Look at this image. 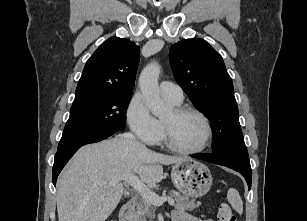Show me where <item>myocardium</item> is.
Returning a JSON list of instances; mask_svg holds the SVG:
<instances>
[{"instance_id":"obj_1","label":"myocardium","mask_w":307,"mask_h":221,"mask_svg":"<svg viewBox=\"0 0 307 221\" xmlns=\"http://www.w3.org/2000/svg\"><path fill=\"white\" fill-rule=\"evenodd\" d=\"M173 110L175 111L177 115L194 114L198 116L199 118H201V120L204 122V125H205L206 134H205L203 143L199 147L194 148V149H183V148L176 146L173 143L172 138H171L170 127L167 125V123L162 121L163 141H164L165 146L172 152L182 154V155H195V154H199L203 152L204 150H206L208 146L210 145L212 137H213V127H212V123L209 117L201 110L194 108V107H190V106H178V107H175Z\"/></svg>"}]
</instances>
